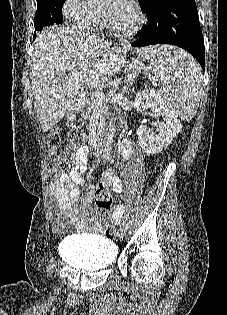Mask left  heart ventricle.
<instances>
[{
  "instance_id": "left-heart-ventricle-1",
  "label": "left heart ventricle",
  "mask_w": 227,
  "mask_h": 315,
  "mask_svg": "<svg viewBox=\"0 0 227 315\" xmlns=\"http://www.w3.org/2000/svg\"><path fill=\"white\" fill-rule=\"evenodd\" d=\"M112 6V0H109L103 7L107 18L111 24L118 30L126 31L130 30L135 23V16L132 8H126L114 13H110Z\"/></svg>"
}]
</instances>
